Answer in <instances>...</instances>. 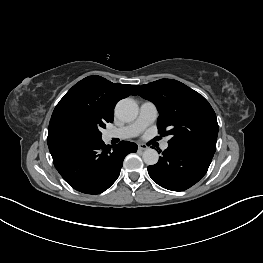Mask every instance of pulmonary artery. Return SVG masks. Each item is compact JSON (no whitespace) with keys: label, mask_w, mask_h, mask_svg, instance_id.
Wrapping results in <instances>:
<instances>
[{"label":"pulmonary artery","mask_w":263,"mask_h":263,"mask_svg":"<svg viewBox=\"0 0 263 263\" xmlns=\"http://www.w3.org/2000/svg\"><path fill=\"white\" fill-rule=\"evenodd\" d=\"M158 117V110L155 104L146 101L141 104L136 120L121 128L111 129L105 133L106 138L129 139L139 135L144 129L150 126ZM168 142L162 143L161 148L166 150Z\"/></svg>","instance_id":"e3ab8cb5"}]
</instances>
